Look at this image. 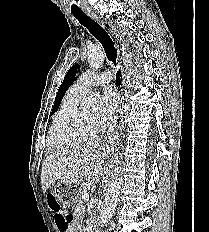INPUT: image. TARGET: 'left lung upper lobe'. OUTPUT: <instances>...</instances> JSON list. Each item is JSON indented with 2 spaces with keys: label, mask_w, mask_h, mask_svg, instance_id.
Masks as SVG:
<instances>
[{
  "label": "left lung upper lobe",
  "mask_w": 209,
  "mask_h": 232,
  "mask_svg": "<svg viewBox=\"0 0 209 232\" xmlns=\"http://www.w3.org/2000/svg\"><path fill=\"white\" fill-rule=\"evenodd\" d=\"M78 68V64L73 65L65 75L64 80L58 89L51 115L54 114V112L59 108L63 95L65 94L69 86H71Z\"/></svg>",
  "instance_id": "obj_1"
}]
</instances>
